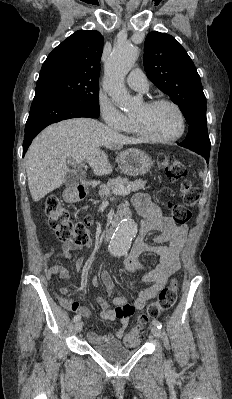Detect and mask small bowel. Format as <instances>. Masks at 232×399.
<instances>
[{
    "label": "small bowel",
    "mask_w": 232,
    "mask_h": 399,
    "mask_svg": "<svg viewBox=\"0 0 232 399\" xmlns=\"http://www.w3.org/2000/svg\"><path fill=\"white\" fill-rule=\"evenodd\" d=\"M134 206L143 213L145 219L139 231V237L134 245L126 253L125 269L127 272H137L140 268L138 263V255L145 249H150L160 256V263L150 272L144 276L145 281L153 283V286L140 293L138 298L129 304L124 297L115 296L113 298V306H110L103 296L98 297V304L101 308L100 317L104 320H113L118 318L120 320L119 327L109 335L107 341L111 345L119 344V336L128 329V322L131 313L134 309L144 308L147 301L151 299L173 276L180 264V255L183 251L185 240L187 236V228L185 226H177L171 220L162 219L160 217V203L150 198L145 193H136L133 197ZM152 230H159L158 235L151 243L145 241L146 235ZM164 243H169L167 247H163ZM91 242H73L66 241L62 245V250L55 252L52 246L49 253L46 255L42 263L45 277L49 283L55 276L61 279L68 280L72 274L67 272L61 265L62 261H70L72 252L82 248H91ZM52 258L54 262L48 265L47 259ZM101 279L104 283H109L111 276L108 272L101 274ZM92 283L95 287H99L98 278L94 277ZM51 292L61 297V304L69 310L76 311L83 315L88 321H91L93 314L91 310L73 300L68 293L76 290V286L63 287L59 290L50 286ZM108 294L114 295L115 290L109 289ZM81 328H84L81 325ZM88 339L92 345H102L105 339L95 333L88 332Z\"/></svg>",
    "instance_id": "c3829d8e"
}]
</instances>
